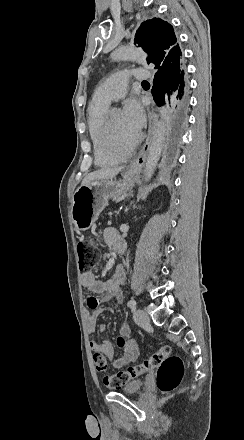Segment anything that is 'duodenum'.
Returning a JSON list of instances; mask_svg holds the SVG:
<instances>
[{
    "label": "duodenum",
    "instance_id": "obj_1",
    "mask_svg": "<svg viewBox=\"0 0 244 440\" xmlns=\"http://www.w3.org/2000/svg\"><path fill=\"white\" fill-rule=\"evenodd\" d=\"M117 250H118V252L120 253L121 250H122L121 246H119V247L117 248Z\"/></svg>",
    "mask_w": 244,
    "mask_h": 440
}]
</instances>
